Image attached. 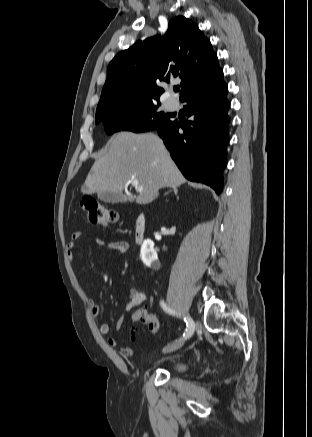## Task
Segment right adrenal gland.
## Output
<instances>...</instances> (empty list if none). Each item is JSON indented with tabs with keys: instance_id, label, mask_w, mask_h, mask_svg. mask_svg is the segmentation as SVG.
<instances>
[{
	"instance_id": "2a0ac1e0",
	"label": "right adrenal gland",
	"mask_w": 312,
	"mask_h": 437,
	"mask_svg": "<svg viewBox=\"0 0 312 437\" xmlns=\"http://www.w3.org/2000/svg\"><path fill=\"white\" fill-rule=\"evenodd\" d=\"M172 190L174 191L175 195L178 194V188L177 187H172ZM170 191H168L166 194H168Z\"/></svg>"
}]
</instances>
